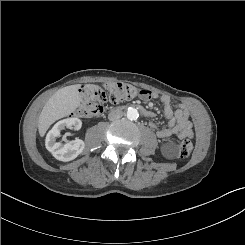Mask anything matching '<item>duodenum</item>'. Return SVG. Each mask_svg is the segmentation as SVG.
Returning <instances> with one entry per match:
<instances>
[{
  "label": "duodenum",
  "instance_id": "410a0bca",
  "mask_svg": "<svg viewBox=\"0 0 245 245\" xmlns=\"http://www.w3.org/2000/svg\"><path fill=\"white\" fill-rule=\"evenodd\" d=\"M133 107L137 108L146 117L152 116V113L150 111H148L147 109H145L143 106L139 104H133Z\"/></svg>",
  "mask_w": 245,
  "mask_h": 245
}]
</instances>
